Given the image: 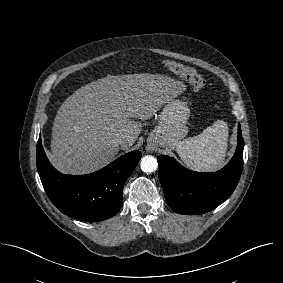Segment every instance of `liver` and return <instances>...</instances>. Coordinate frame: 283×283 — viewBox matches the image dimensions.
<instances>
[{"instance_id": "liver-1", "label": "liver", "mask_w": 283, "mask_h": 283, "mask_svg": "<svg viewBox=\"0 0 283 283\" xmlns=\"http://www.w3.org/2000/svg\"><path fill=\"white\" fill-rule=\"evenodd\" d=\"M185 85L159 74L108 75L82 86L57 111L50 156L53 166L64 174H86L106 166L121 145L130 148L142 123L165 103L185 91Z\"/></svg>"}]
</instances>
